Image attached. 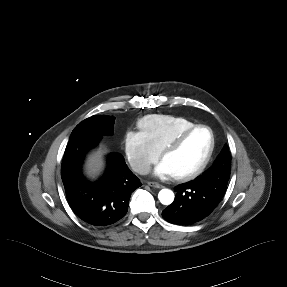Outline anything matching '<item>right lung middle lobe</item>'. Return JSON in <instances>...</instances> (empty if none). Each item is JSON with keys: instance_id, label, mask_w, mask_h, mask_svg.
<instances>
[{"instance_id": "right-lung-middle-lobe-1", "label": "right lung middle lobe", "mask_w": 287, "mask_h": 287, "mask_svg": "<svg viewBox=\"0 0 287 287\" xmlns=\"http://www.w3.org/2000/svg\"><path fill=\"white\" fill-rule=\"evenodd\" d=\"M114 116L107 115H94L91 116L81 123H79L71 133V136L85 134V133H95L98 135L112 134L114 130Z\"/></svg>"}]
</instances>
